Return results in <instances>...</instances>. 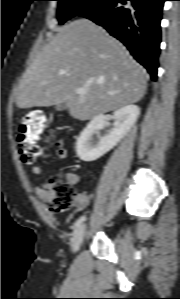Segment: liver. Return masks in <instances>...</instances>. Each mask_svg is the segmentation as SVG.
<instances>
[{
	"instance_id": "obj_1",
	"label": "liver",
	"mask_w": 180,
	"mask_h": 299,
	"mask_svg": "<svg viewBox=\"0 0 180 299\" xmlns=\"http://www.w3.org/2000/svg\"><path fill=\"white\" fill-rule=\"evenodd\" d=\"M145 74L122 43L79 19L59 28L43 47L22 77L16 104L23 109L65 103L73 118L89 120L140 101ZM83 87L86 94L75 92Z\"/></svg>"
}]
</instances>
